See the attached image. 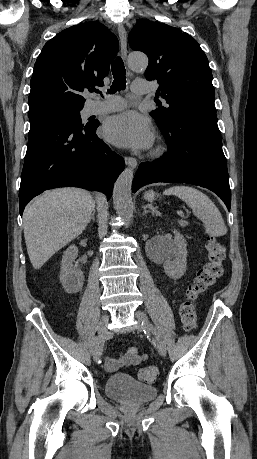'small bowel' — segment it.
I'll use <instances>...</instances> for the list:
<instances>
[{"label": "small bowel", "instance_id": "obj_1", "mask_svg": "<svg viewBox=\"0 0 257 459\" xmlns=\"http://www.w3.org/2000/svg\"><path fill=\"white\" fill-rule=\"evenodd\" d=\"M148 358L147 354L139 353L137 347H130L115 358L112 356L105 357V369L108 372L116 371L121 366H134L145 361Z\"/></svg>", "mask_w": 257, "mask_h": 459}]
</instances>
